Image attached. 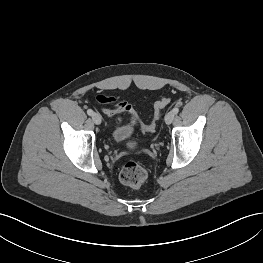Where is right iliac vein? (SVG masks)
Segmentation results:
<instances>
[{
    "label": "right iliac vein",
    "instance_id": "right-iliac-vein-1",
    "mask_svg": "<svg viewBox=\"0 0 263 263\" xmlns=\"http://www.w3.org/2000/svg\"><path fill=\"white\" fill-rule=\"evenodd\" d=\"M92 120L97 125L101 124V121H102L101 115L98 113H93Z\"/></svg>",
    "mask_w": 263,
    "mask_h": 263
}]
</instances>
